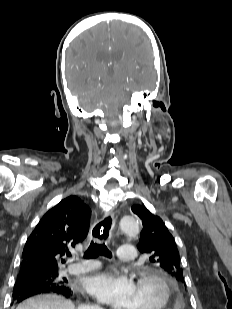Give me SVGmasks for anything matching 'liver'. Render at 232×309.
<instances>
[{
    "mask_svg": "<svg viewBox=\"0 0 232 309\" xmlns=\"http://www.w3.org/2000/svg\"><path fill=\"white\" fill-rule=\"evenodd\" d=\"M16 309H76L74 304L58 295H39L29 298Z\"/></svg>",
    "mask_w": 232,
    "mask_h": 309,
    "instance_id": "obj_1",
    "label": "liver"
}]
</instances>
